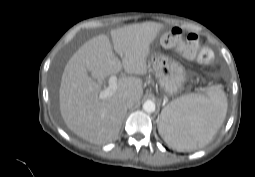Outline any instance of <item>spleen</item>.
<instances>
[{
	"mask_svg": "<svg viewBox=\"0 0 255 177\" xmlns=\"http://www.w3.org/2000/svg\"><path fill=\"white\" fill-rule=\"evenodd\" d=\"M227 113L222 90L211 87L208 95L189 94L172 101L161 113L159 132L177 151L194 150L208 144Z\"/></svg>",
	"mask_w": 255,
	"mask_h": 177,
	"instance_id": "1",
	"label": "spleen"
}]
</instances>
